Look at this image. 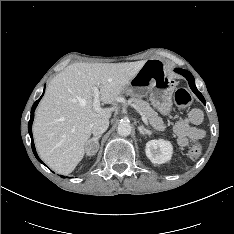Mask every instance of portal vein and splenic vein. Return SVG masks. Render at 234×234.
Segmentation results:
<instances>
[{"label":"portal vein and splenic vein","instance_id":"18ae733b","mask_svg":"<svg viewBox=\"0 0 234 234\" xmlns=\"http://www.w3.org/2000/svg\"><path fill=\"white\" fill-rule=\"evenodd\" d=\"M93 93H94V99H93V107L96 111H100L101 107H100V93H99V89L98 87H94L93 88ZM112 109V108H111ZM142 121L147 125L148 121L147 118L142 115Z\"/></svg>","mask_w":234,"mask_h":234}]
</instances>
